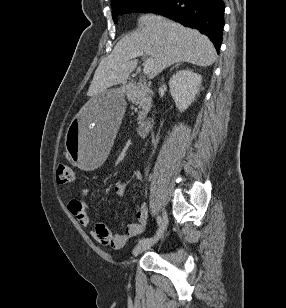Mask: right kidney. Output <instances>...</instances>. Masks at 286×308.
<instances>
[{
  "label": "right kidney",
  "instance_id": "ca27d5eb",
  "mask_svg": "<svg viewBox=\"0 0 286 308\" xmlns=\"http://www.w3.org/2000/svg\"><path fill=\"white\" fill-rule=\"evenodd\" d=\"M201 83V75L189 69L178 71L171 77L169 81L170 92L180 112H184L195 100Z\"/></svg>",
  "mask_w": 286,
  "mask_h": 308
}]
</instances>
